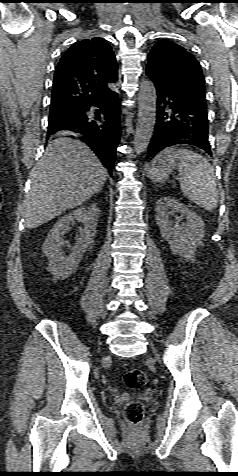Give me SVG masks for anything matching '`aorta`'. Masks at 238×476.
I'll list each match as a JSON object with an SVG mask.
<instances>
[{
  "mask_svg": "<svg viewBox=\"0 0 238 476\" xmlns=\"http://www.w3.org/2000/svg\"><path fill=\"white\" fill-rule=\"evenodd\" d=\"M156 89L152 81L145 80L140 85L138 96V122L134 137V152L143 153L150 142L156 122Z\"/></svg>",
  "mask_w": 238,
  "mask_h": 476,
  "instance_id": "obj_1",
  "label": "aorta"
}]
</instances>
